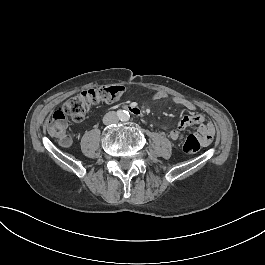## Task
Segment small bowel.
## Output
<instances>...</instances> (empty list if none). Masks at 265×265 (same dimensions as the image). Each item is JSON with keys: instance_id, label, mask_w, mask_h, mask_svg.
<instances>
[{"instance_id": "c3829d8e", "label": "small bowel", "mask_w": 265, "mask_h": 265, "mask_svg": "<svg viewBox=\"0 0 265 265\" xmlns=\"http://www.w3.org/2000/svg\"><path fill=\"white\" fill-rule=\"evenodd\" d=\"M167 97V93L158 91L152 95L151 99L162 100ZM172 101L175 105L180 106L189 112H195L197 110V106L193 102L180 96H173ZM190 127H197V130L201 135L202 142L205 145H208L212 141L215 133L214 125L202 113H193L191 115L181 117L177 128L171 130L169 136L172 140L179 141L183 137L182 131Z\"/></svg>"}]
</instances>
